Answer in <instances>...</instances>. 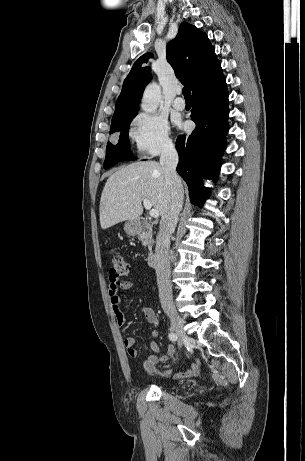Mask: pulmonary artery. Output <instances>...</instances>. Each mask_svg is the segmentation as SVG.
<instances>
[{"mask_svg": "<svg viewBox=\"0 0 305 461\" xmlns=\"http://www.w3.org/2000/svg\"><path fill=\"white\" fill-rule=\"evenodd\" d=\"M180 94H181V91L180 90L177 91L178 96L174 99L173 104H172L176 110H184L186 106V103L184 99L180 97Z\"/></svg>", "mask_w": 305, "mask_h": 461, "instance_id": "pulmonary-artery-1", "label": "pulmonary artery"}]
</instances>
